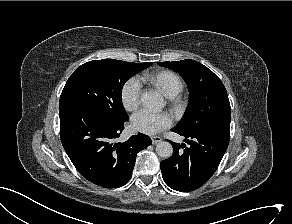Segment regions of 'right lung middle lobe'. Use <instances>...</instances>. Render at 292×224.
<instances>
[{"mask_svg":"<svg viewBox=\"0 0 292 224\" xmlns=\"http://www.w3.org/2000/svg\"><path fill=\"white\" fill-rule=\"evenodd\" d=\"M152 65L115 59L87 62L70 76L61 93L59 108L82 106L116 122L128 117L121 100L125 82Z\"/></svg>","mask_w":292,"mask_h":224,"instance_id":"1","label":"right lung middle lobe"}]
</instances>
